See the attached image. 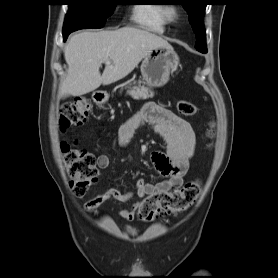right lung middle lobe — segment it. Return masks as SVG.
I'll return each mask as SVG.
<instances>
[{
  "mask_svg": "<svg viewBox=\"0 0 278 278\" xmlns=\"http://www.w3.org/2000/svg\"><path fill=\"white\" fill-rule=\"evenodd\" d=\"M118 0H66L69 10L63 33L82 28H101L113 14Z\"/></svg>",
  "mask_w": 278,
  "mask_h": 278,
  "instance_id": "obj_1",
  "label": "right lung middle lobe"
}]
</instances>
